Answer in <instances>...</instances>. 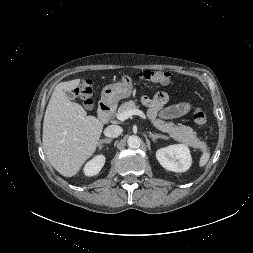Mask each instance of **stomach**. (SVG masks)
Returning a JSON list of instances; mask_svg holds the SVG:
<instances>
[{
	"label": "stomach",
	"mask_w": 253,
	"mask_h": 253,
	"mask_svg": "<svg viewBox=\"0 0 253 253\" xmlns=\"http://www.w3.org/2000/svg\"><path fill=\"white\" fill-rule=\"evenodd\" d=\"M132 94V79L123 75L122 82L107 85L101 93L102 101L106 103H117L121 99L129 98Z\"/></svg>",
	"instance_id": "obj_1"
}]
</instances>
